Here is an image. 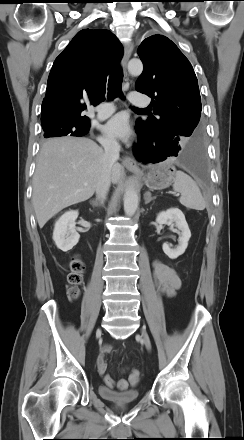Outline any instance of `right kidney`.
Instances as JSON below:
<instances>
[{"mask_svg":"<svg viewBox=\"0 0 244 440\" xmlns=\"http://www.w3.org/2000/svg\"><path fill=\"white\" fill-rule=\"evenodd\" d=\"M78 214V211H67L55 223L53 240L63 252L71 250L79 241L80 235L76 231Z\"/></svg>","mask_w":244,"mask_h":440,"instance_id":"obj_1","label":"right kidney"}]
</instances>
